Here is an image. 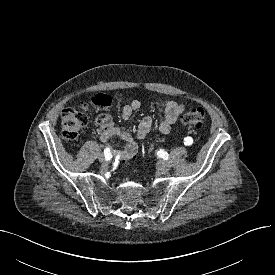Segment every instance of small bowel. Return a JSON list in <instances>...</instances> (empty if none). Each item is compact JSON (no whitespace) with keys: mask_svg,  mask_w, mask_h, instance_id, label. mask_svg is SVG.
<instances>
[{"mask_svg":"<svg viewBox=\"0 0 275 275\" xmlns=\"http://www.w3.org/2000/svg\"><path fill=\"white\" fill-rule=\"evenodd\" d=\"M141 106L139 100H133L129 104L125 105L121 111V117L123 120H128L132 114L138 110ZM185 107L183 104L175 101H165L163 104L164 116L159 124V130L163 134H169L175 127L180 115L183 113ZM99 124L100 139L107 141L113 136H118L126 142V146L123 151L120 152V156L123 161H129L134 158L137 152V145L126 131L121 130L117 127L110 116L104 115L97 119ZM153 125L151 117H144L139 123L137 136L143 139L147 136Z\"/></svg>","mask_w":275,"mask_h":275,"instance_id":"1","label":"small bowel"}]
</instances>
